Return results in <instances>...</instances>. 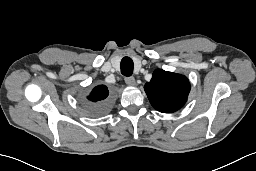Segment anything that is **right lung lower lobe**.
<instances>
[{
	"mask_svg": "<svg viewBox=\"0 0 256 171\" xmlns=\"http://www.w3.org/2000/svg\"><path fill=\"white\" fill-rule=\"evenodd\" d=\"M110 107V100L106 99L100 103L88 106V114L93 117L100 116L106 113Z\"/></svg>",
	"mask_w": 256,
	"mask_h": 171,
	"instance_id": "obj_1",
	"label": "right lung lower lobe"
}]
</instances>
